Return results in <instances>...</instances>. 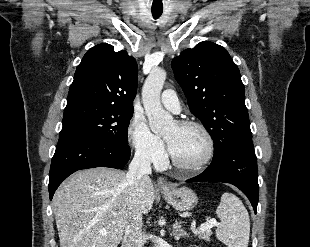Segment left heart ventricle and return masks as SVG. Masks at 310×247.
I'll return each mask as SVG.
<instances>
[{
    "instance_id": "1",
    "label": "left heart ventricle",
    "mask_w": 310,
    "mask_h": 247,
    "mask_svg": "<svg viewBox=\"0 0 310 247\" xmlns=\"http://www.w3.org/2000/svg\"><path fill=\"white\" fill-rule=\"evenodd\" d=\"M164 138L171 154L183 164H195L206 155L207 142L203 133L197 128H182L173 124L164 133Z\"/></svg>"
}]
</instances>
